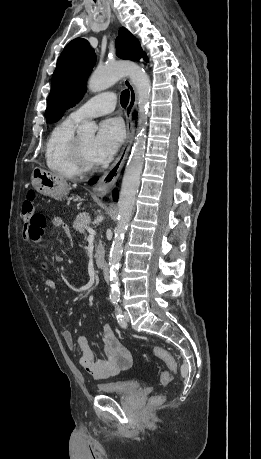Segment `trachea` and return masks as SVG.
Wrapping results in <instances>:
<instances>
[{
    "label": "trachea",
    "mask_w": 261,
    "mask_h": 459,
    "mask_svg": "<svg viewBox=\"0 0 261 459\" xmlns=\"http://www.w3.org/2000/svg\"><path fill=\"white\" fill-rule=\"evenodd\" d=\"M120 102H121L122 107H126L128 105V102H129V91L128 90H124L121 93Z\"/></svg>",
    "instance_id": "1"
}]
</instances>
